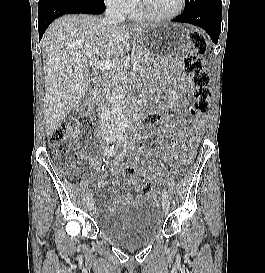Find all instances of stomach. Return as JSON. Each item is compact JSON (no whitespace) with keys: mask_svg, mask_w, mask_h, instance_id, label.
Returning <instances> with one entry per match:
<instances>
[{"mask_svg":"<svg viewBox=\"0 0 265 273\" xmlns=\"http://www.w3.org/2000/svg\"><path fill=\"white\" fill-rule=\"evenodd\" d=\"M186 30H193V25H154L135 33L137 44H129V49H144L136 59L139 64H174L178 41L183 40Z\"/></svg>","mask_w":265,"mask_h":273,"instance_id":"obj_1","label":"stomach"}]
</instances>
